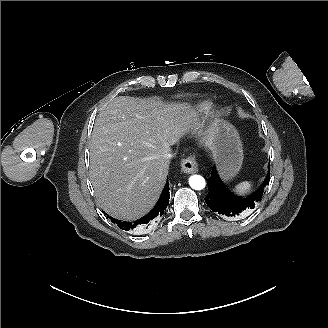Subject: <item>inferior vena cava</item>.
I'll use <instances>...</instances> for the list:
<instances>
[{
  "mask_svg": "<svg viewBox=\"0 0 328 328\" xmlns=\"http://www.w3.org/2000/svg\"><path fill=\"white\" fill-rule=\"evenodd\" d=\"M165 156L167 157V159H171L173 157V154L172 153H167Z\"/></svg>",
  "mask_w": 328,
  "mask_h": 328,
  "instance_id": "inferior-vena-cava-1",
  "label": "inferior vena cava"
}]
</instances>
